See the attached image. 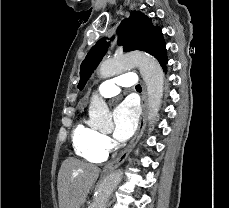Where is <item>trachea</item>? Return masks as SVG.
<instances>
[{
	"label": "trachea",
	"instance_id": "trachea-1",
	"mask_svg": "<svg viewBox=\"0 0 229 208\" xmlns=\"http://www.w3.org/2000/svg\"><path fill=\"white\" fill-rule=\"evenodd\" d=\"M136 88H141V86L138 84V85H136Z\"/></svg>",
	"mask_w": 229,
	"mask_h": 208
}]
</instances>
